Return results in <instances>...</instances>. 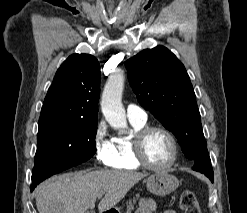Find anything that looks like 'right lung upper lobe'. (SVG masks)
I'll return each instance as SVG.
<instances>
[{
	"label": "right lung upper lobe",
	"instance_id": "obj_1",
	"mask_svg": "<svg viewBox=\"0 0 247 213\" xmlns=\"http://www.w3.org/2000/svg\"><path fill=\"white\" fill-rule=\"evenodd\" d=\"M100 65L90 54H73L57 70L39 122L68 120L97 123Z\"/></svg>",
	"mask_w": 247,
	"mask_h": 213
}]
</instances>
